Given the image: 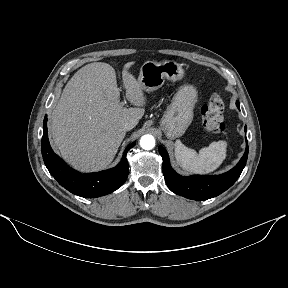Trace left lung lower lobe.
I'll return each mask as SVG.
<instances>
[{"label":"left lung lower lobe","mask_w":288,"mask_h":288,"mask_svg":"<svg viewBox=\"0 0 288 288\" xmlns=\"http://www.w3.org/2000/svg\"><path fill=\"white\" fill-rule=\"evenodd\" d=\"M239 108V102H236ZM246 131V127H245ZM247 143V139H246ZM159 153L163 159V175L169 189L177 195L193 200H207L218 196L231 187L241 175L248 157V146L239 163L221 175H193L181 176L171 167L167 151L159 146Z\"/></svg>","instance_id":"0a47b994"}]
</instances>
